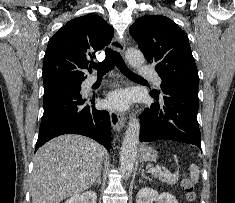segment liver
Returning <instances> with one entry per match:
<instances>
[{"label":"liver","instance_id":"6515ba94","mask_svg":"<svg viewBox=\"0 0 235 203\" xmlns=\"http://www.w3.org/2000/svg\"><path fill=\"white\" fill-rule=\"evenodd\" d=\"M104 152L96 141L74 134L44 144L34 158L32 203H60L90 188L101 173Z\"/></svg>","mask_w":235,"mask_h":203}]
</instances>
